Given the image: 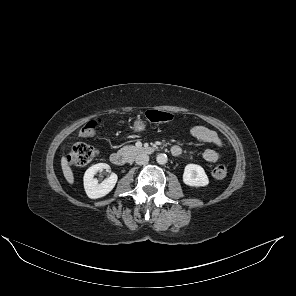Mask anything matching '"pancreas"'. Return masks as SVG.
<instances>
[{
    "label": "pancreas",
    "mask_w": 296,
    "mask_h": 296,
    "mask_svg": "<svg viewBox=\"0 0 296 296\" xmlns=\"http://www.w3.org/2000/svg\"><path fill=\"white\" fill-rule=\"evenodd\" d=\"M141 149H138L137 147L133 145H127L120 149V152L124 153L125 155H136L139 153Z\"/></svg>",
    "instance_id": "1"
}]
</instances>
